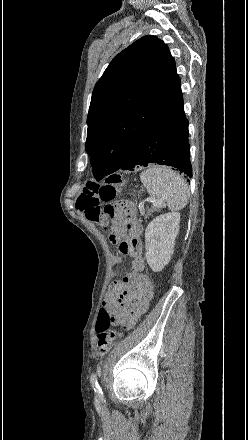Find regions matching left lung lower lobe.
Returning a JSON list of instances; mask_svg holds the SVG:
<instances>
[{
	"instance_id": "0a47b994",
	"label": "left lung lower lobe",
	"mask_w": 248,
	"mask_h": 440,
	"mask_svg": "<svg viewBox=\"0 0 248 440\" xmlns=\"http://www.w3.org/2000/svg\"><path fill=\"white\" fill-rule=\"evenodd\" d=\"M188 124L182 99L131 146L118 169L133 170L157 163L175 167L191 178Z\"/></svg>"
}]
</instances>
